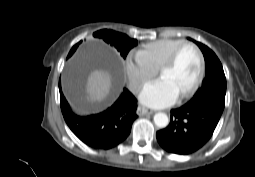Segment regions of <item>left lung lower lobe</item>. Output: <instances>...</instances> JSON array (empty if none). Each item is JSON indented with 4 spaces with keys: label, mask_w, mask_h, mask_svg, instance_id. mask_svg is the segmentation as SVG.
Returning a JSON list of instances; mask_svg holds the SVG:
<instances>
[{
    "label": "left lung lower lobe",
    "mask_w": 255,
    "mask_h": 177,
    "mask_svg": "<svg viewBox=\"0 0 255 177\" xmlns=\"http://www.w3.org/2000/svg\"><path fill=\"white\" fill-rule=\"evenodd\" d=\"M223 109L215 103H204L171 110L170 124L156 133L158 143L173 154L196 152L211 138Z\"/></svg>",
    "instance_id": "0a47b994"
}]
</instances>
